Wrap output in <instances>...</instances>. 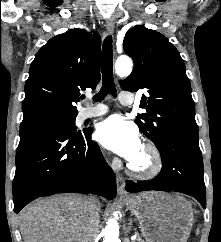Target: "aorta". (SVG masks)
Masks as SVG:
<instances>
[{"instance_id":"762f6f07","label":"aorta","mask_w":221,"mask_h":242,"mask_svg":"<svg viewBox=\"0 0 221 242\" xmlns=\"http://www.w3.org/2000/svg\"><path fill=\"white\" fill-rule=\"evenodd\" d=\"M132 71V60L129 57L122 56L116 60L115 72L119 77H126ZM103 242H120L119 225L116 219L108 220L106 227L102 231Z\"/></svg>"}]
</instances>
